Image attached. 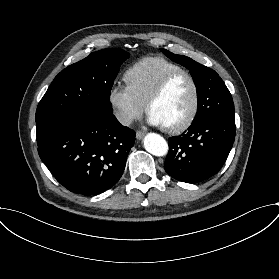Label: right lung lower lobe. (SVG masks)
I'll return each instance as SVG.
<instances>
[{"label": "right lung lower lobe", "instance_id": "1", "mask_svg": "<svg viewBox=\"0 0 279 279\" xmlns=\"http://www.w3.org/2000/svg\"><path fill=\"white\" fill-rule=\"evenodd\" d=\"M38 153L55 179L80 195H97L123 174L135 132L113 114L56 110L36 121Z\"/></svg>", "mask_w": 279, "mask_h": 279}]
</instances>
